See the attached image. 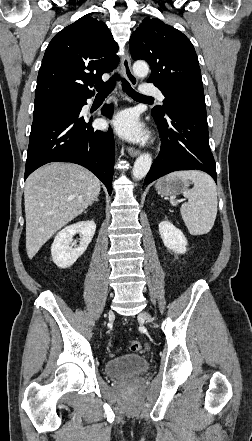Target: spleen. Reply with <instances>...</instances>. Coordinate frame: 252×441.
Wrapping results in <instances>:
<instances>
[{"label":"spleen","instance_id":"1","mask_svg":"<svg viewBox=\"0 0 252 441\" xmlns=\"http://www.w3.org/2000/svg\"><path fill=\"white\" fill-rule=\"evenodd\" d=\"M167 179L191 180L192 189H185L183 195L188 199L180 208L182 219L191 235L208 233L217 215V190L214 180L202 171H177L167 176ZM175 205V201H172Z\"/></svg>","mask_w":252,"mask_h":441}]
</instances>
